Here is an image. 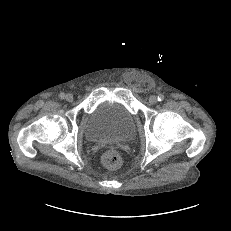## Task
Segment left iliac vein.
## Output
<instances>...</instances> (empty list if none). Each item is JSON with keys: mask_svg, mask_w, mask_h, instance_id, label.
Returning <instances> with one entry per match:
<instances>
[{"mask_svg": "<svg viewBox=\"0 0 231 231\" xmlns=\"http://www.w3.org/2000/svg\"><path fill=\"white\" fill-rule=\"evenodd\" d=\"M157 101H158V99H157V97H156V96H150V98H149V102H150L151 104H156V103H157Z\"/></svg>", "mask_w": 231, "mask_h": 231, "instance_id": "4c4485c4", "label": "left iliac vein"}]
</instances>
